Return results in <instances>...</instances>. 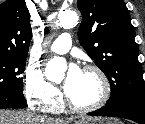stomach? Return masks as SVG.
<instances>
[{"mask_svg":"<svg viewBox=\"0 0 145 124\" xmlns=\"http://www.w3.org/2000/svg\"><path fill=\"white\" fill-rule=\"evenodd\" d=\"M114 120L103 119V118H82L78 121H75L74 124H114Z\"/></svg>","mask_w":145,"mask_h":124,"instance_id":"0dacf381","label":"stomach"}]
</instances>
